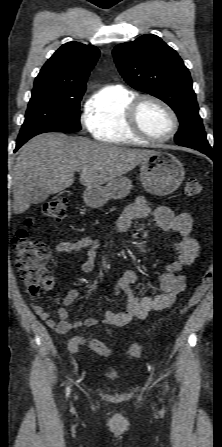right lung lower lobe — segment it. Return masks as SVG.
<instances>
[{
  "mask_svg": "<svg viewBox=\"0 0 222 447\" xmlns=\"http://www.w3.org/2000/svg\"><path fill=\"white\" fill-rule=\"evenodd\" d=\"M19 148V146H16V150Z\"/></svg>",
  "mask_w": 222,
  "mask_h": 447,
  "instance_id": "obj_1",
  "label": "right lung lower lobe"
}]
</instances>
